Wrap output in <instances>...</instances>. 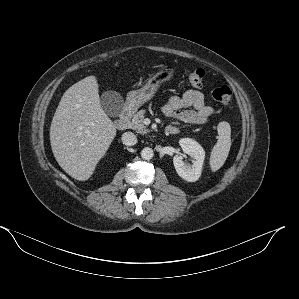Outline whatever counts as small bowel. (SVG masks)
<instances>
[{
    "label": "small bowel",
    "mask_w": 299,
    "mask_h": 299,
    "mask_svg": "<svg viewBox=\"0 0 299 299\" xmlns=\"http://www.w3.org/2000/svg\"><path fill=\"white\" fill-rule=\"evenodd\" d=\"M165 116L175 118L188 124H205L209 122L214 109L207 103L206 96L199 90L191 89L181 96H171L163 105ZM173 127L178 132V127Z\"/></svg>",
    "instance_id": "obj_1"
}]
</instances>
